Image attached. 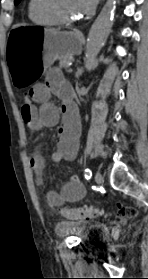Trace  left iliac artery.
<instances>
[{"label": "left iliac artery", "mask_w": 148, "mask_h": 279, "mask_svg": "<svg viewBox=\"0 0 148 279\" xmlns=\"http://www.w3.org/2000/svg\"><path fill=\"white\" fill-rule=\"evenodd\" d=\"M92 176V172L89 168H86L84 171V177L86 178V180H90Z\"/></svg>", "instance_id": "1"}]
</instances>
